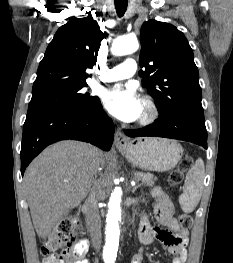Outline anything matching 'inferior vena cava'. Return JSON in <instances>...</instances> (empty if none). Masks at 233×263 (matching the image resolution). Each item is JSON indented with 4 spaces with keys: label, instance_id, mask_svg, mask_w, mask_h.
Wrapping results in <instances>:
<instances>
[{
    "label": "inferior vena cava",
    "instance_id": "602c4592",
    "mask_svg": "<svg viewBox=\"0 0 233 263\" xmlns=\"http://www.w3.org/2000/svg\"><path fill=\"white\" fill-rule=\"evenodd\" d=\"M84 211L93 247L98 252L101 248L102 234L101 218L95 188H93L84 204Z\"/></svg>",
    "mask_w": 233,
    "mask_h": 263
}]
</instances>
